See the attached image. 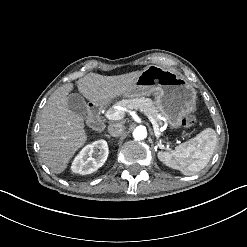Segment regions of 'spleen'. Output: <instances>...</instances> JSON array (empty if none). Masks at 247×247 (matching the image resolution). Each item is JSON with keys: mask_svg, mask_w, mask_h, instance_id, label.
I'll return each instance as SVG.
<instances>
[{"mask_svg": "<svg viewBox=\"0 0 247 247\" xmlns=\"http://www.w3.org/2000/svg\"><path fill=\"white\" fill-rule=\"evenodd\" d=\"M217 143L213 128H206L192 140L176 147L169 153H160L159 159L185 175H193L209 163Z\"/></svg>", "mask_w": 247, "mask_h": 247, "instance_id": "1", "label": "spleen"}]
</instances>
